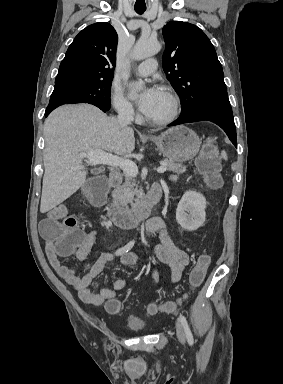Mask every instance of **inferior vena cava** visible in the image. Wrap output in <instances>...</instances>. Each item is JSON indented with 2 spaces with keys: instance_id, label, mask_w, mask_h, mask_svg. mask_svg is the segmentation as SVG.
Here are the masks:
<instances>
[{
  "instance_id": "1",
  "label": "inferior vena cava",
  "mask_w": 283,
  "mask_h": 384,
  "mask_svg": "<svg viewBox=\"0 0 283 384\" xmlns=\"http://www.w3.org/2000/svg\"><path fill=\"white\" fill-rule=\"evenodd\" d=\"M116 110L118 112V124H120L121 128H126L128 124L133 122L134 110L132 104H125V102H121V104L117 106Z\"/></svg>"
}]
</instances>
